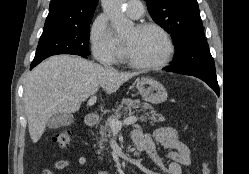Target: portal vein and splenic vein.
Returning a JSON list of instances; mask_svg holds the SVG:
<instances>
[{"label":"portal vein and splenic vein","mask_w":249,"mask_h":174,"mask_svg":"<svg viewBox=\"0 0 249 174\" xmlns=\"http://www.w3.org/2000/svg\"><path fill=\"white\" fill-rule=\"evenodd\" d=\"M96 96H92L88 102H87V105L88 106H92L95 104L96 102ZM137 117L136 116H129L127 118H125L123 121H119L117 118H113V119H110L109 121V126L111 128V130L113 131H119L121 130L122 128V125H129V124H133L137 121Z\"/></svg>","instance_id":"portal-vein-and-splenic-vein-1"}]
</instances>
